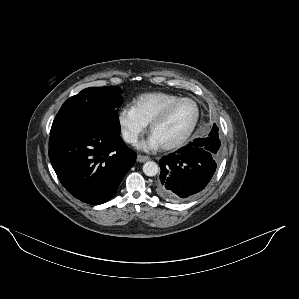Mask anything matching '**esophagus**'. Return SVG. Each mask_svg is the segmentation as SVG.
Wrapping results in <instances>:
<instances>
[{"label": "esophagus", "mask_w": 299, "mask_h": 299, "mask_svg": "<svg viewBox=\"0 0 299 299\" xmlns=\"http://www.w3.org/2000/svg\"><path fill=\"white\" fill-rule=\"evenodd\" d=\"M149 159H150V157H148V156L141 155V154L137 155V161H138V162H146V161H148Z\"/></svg>", "instance_id": "1"}]
</instances>
